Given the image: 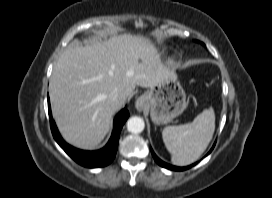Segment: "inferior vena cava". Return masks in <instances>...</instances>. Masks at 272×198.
Returning a JSON list of instances; mask_svg holds the SVG:
<instances>
[{"mask_svg": "<svg viewBox=\"0 0 272 198\" xmlns=\"http://www.w3.org/2000/svg\"><path fill=\"white\" fill-rule=\"evenodd\" d=\"M109 98L114 101V102H117L120 98V94H119V91L117 89L113 90L110 95H109Z\"/></svg>", "mask_w": 272, "mask_h": 198, "instance_id": "obj_1", "label": "inferior vena cava"}]
</instances>
